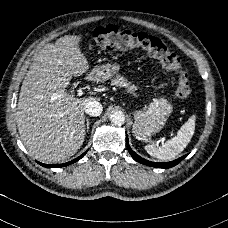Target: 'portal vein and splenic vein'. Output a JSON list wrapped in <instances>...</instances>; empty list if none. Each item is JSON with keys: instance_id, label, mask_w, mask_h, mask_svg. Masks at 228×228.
<instances>
[{"instance_id": "18ae733b", "label": "portal vein and splenic vein", "mask_w": 228, "mask_h": 228, "mask_svg": "<svg viewBox=\"0 0 228 228\" xmlns=\"http://www.w3.org/2000/svg\"><path fill=\"white\" fill-rule=\"evenodd\" d=\"M76 93H77L78 96H83V95H84V90L81 89V88H78V89L76 90ZM162 142H163V141H162Z\"/></svg>"}]
</instances>
